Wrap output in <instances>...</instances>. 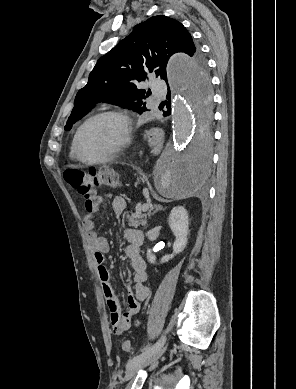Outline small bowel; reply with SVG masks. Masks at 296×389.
Here are the masks:
<instances>
[{
	"mask_svg": "<svg viewBox=\"0 0 296 389\" xmlns=\"http://www.w3.org/2000/svg\"><path fill=\"white\" fill-rule=\"evenodd\" d=\"M102 203L103 197L93 192L88 197H85V214L82 223L93 251V259L110 312V323L113 332L120 335L127 331L133 324H138L135 316L150 296V290L145 285L147 280L146 263L140 255L143 235L139 230L132 228H127L123 232V237L128 243L125 248V254L129 258L134 271V287L133 291L127 297L128 308L122 312L121 305L110 282L109 271L104 266V256L109 251V243L106 238L98 235L96 232L94 215L100 210ZM111 205L116 216H121L126 209V201L119 196L112 199Z\"/></svg>",
	"mask_w": 296,
	"mask_h": 389,
	"instance_id": "obj_1",
	"label": "small bowel"
}]
</instances>
